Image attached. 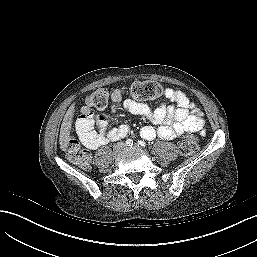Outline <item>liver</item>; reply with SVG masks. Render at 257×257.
I'll return each instance as SVG.
<instances>
[{
    "label": "liver",
    "mask_w": 257,
    "mask_h": 257,
    "mask_svg": "<svg viewBox=\"0 0 257 257\" xmlns=\"http://www.w3.org/2000/svg\"><path fill=\"white\" fill-rule=\"evenodd\" d=\"M74 108H75V104L73 103L67 110L61 124L59 142H60V148L63 151H66L69 145L70 130H71L72 121H73Z\"/></svg>",
    "instance_id": "liver-1"
}]
</instances>
